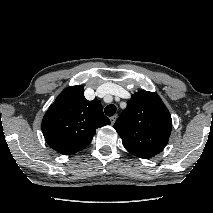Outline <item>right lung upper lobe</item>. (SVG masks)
Wrapping results in <instances>:
<instances>
[{
  "label": "right lung upper lobe",
  "mask_w": 213,
  "mask_h": 213,
  "mask_svg": "<svg viewBox=\"0 0 213 213\" xmlns=\"http://www.w3.org/2000/svg\"><path fill=\"white\" fill-rule=\"evenodd\" d=\"M110 124L98 99L88 101L81 85L62 91L42 120L48 145L63 155L81 151L90 144L96 129Z\"/></svg>",
  "instance_id": "obj_1"
}]
</instances>
